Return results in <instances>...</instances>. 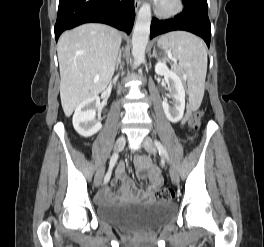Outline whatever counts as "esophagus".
<instances>
[{"label":"esophagus","mask_w":264,"mask_h":247,"mask_svg":"<svg viewBox=\"0 0 264 247\" xmlns=\"http://www.w3.org/2000/svg\"><path fill=\"white\" fill-rule=\"evenodd\" d=\"M140 5H141V1H140V0H135V1H134V7H135V10H136V11H137L138 8L140 7Z\"/></svg>","instance_id":"obj_1"}]
</instances>
